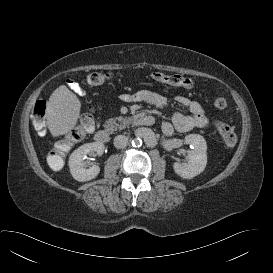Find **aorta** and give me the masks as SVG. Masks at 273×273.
<instances>
[{
  "label": "aorta",
  "instance_id": "aorta-1",
  "mask_svg": "<svg viewBox=\"0 0 273 273\" xmlns=\"http://www.w3.org/2000/svg\"><path fill=\"white\" fill-rule=\"evenodd\" d=\"M132 145L134 147H139L142 145V140L140 138H135L133 141H132Z\"/></svg>",
  "mask_w": 273,
  "mask_h": 273
}]
</instances>
